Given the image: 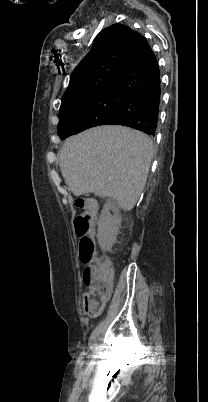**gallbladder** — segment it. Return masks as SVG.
<instances>
[{
    "label": "gallbladder",
    "instance_id": "gallbladder-1",
    "mask_svg": "<svg viewBox=\"0 0 208 402\" xmlns=\"http://www.w3.org/2000/svg\"><path fill=\"white\" fill-rule=\"evenodd\" d=\"M86 196H89V193H86Z\"/></svg>",
    "mask_w": 208,
    "mask_h": 402
}]
</instances>
